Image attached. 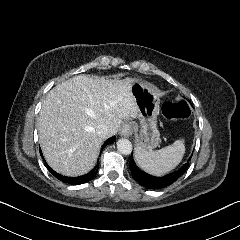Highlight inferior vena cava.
Returning a JSON list of instances; mask_svg holds the SVG:
<instances>
[{"label": "inferior vena cava", "mask_w": 240, "mask_h": 240, "mask_svg": "<svg viewBox=\"0 0 240 240\" xmlns=\"http://www.w3.org/2000/svg\"><path fill=\"white\" fill-rule=\"evenodd\" d=\"M111 131H113V129H111L110 126H107L106 124L102 123L99 124L97 134L101 138L105 139L110 134Z\"/></svg>", "instance_id": "obj_1"}]
</instances>
